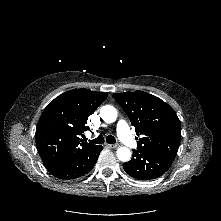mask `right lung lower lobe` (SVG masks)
<instances>
[{
    "mask_svg": "<svg viewBox=\"0 0 221 221\" xmlns=\"http://www.w3.org/2000/svg\"><path fill=\"white\" fill-rule=\"evenodd\" d=\"M101 145H94L79 152L63 157L47 170L55 177L73 180L87 174L96 164Z\"/></svg>",
    "mask_w": 221,
    "mask_h": 221,
    "instance_id": "obj_1",
    "label": "right lung lower lobe"
}]
</instances>
